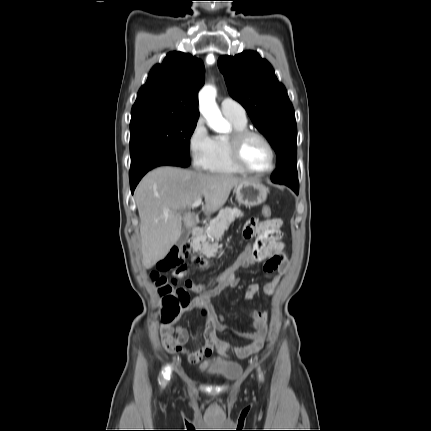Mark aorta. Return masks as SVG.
<instances>
[{
  "mask_svg": "<svg viewBox=\"0 0 431 431\" xmlns=\"http://www.w3.org/2000/svg\"><path fill=\"white\" fill-rule=\"evenodd\" d=\"M216 90L207 85L199 92V109L208 121V125L216 132L222 133L229 130V125L222 117L215 102Z\"/></svg>",
  "mask_w": 431,
  "mask_h": 431,
  "instance_id": "1",
  "label": "aorta"
}]
</instances>
